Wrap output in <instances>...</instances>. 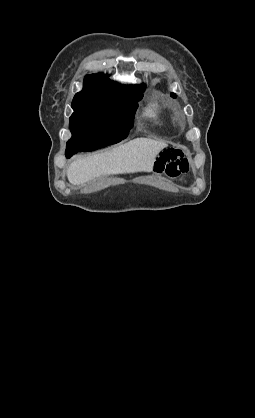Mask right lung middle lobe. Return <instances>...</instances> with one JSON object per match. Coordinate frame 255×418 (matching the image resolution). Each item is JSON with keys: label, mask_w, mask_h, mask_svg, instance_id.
Wrapping results in <instances>:
<instances>
[{"label": "right lung middle lobe", "mask_w": 255, "mask_h": 418, "mask_svg": "<svg viewBox=\"0 0 255 418\" xmlns=\"http://www.w3.org/2000/svg\"><path fill=\"white\" fill-rule=\"evenodd\" d=\"M141 91L131 93H82L72 101V138L69 152L92 151L125 139L133 126Z\"/></svg>", "instance_id": "right-lung-middle-lobe-1"}]
</instances>
